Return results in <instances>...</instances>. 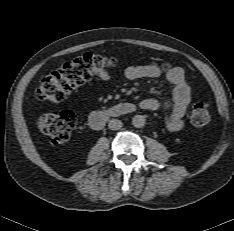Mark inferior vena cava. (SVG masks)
Segmentation results:
<instances>
[{"mask_svg":"<svg viewBox=\"0 0 234 231\" xmlns=\"http://www.w3.org/2000/svg\"><path fill=\"white\" fill-rule=\"evenodd\" d=\"M122 125H123L122 122L118 119H112L108 123V127L111 130H118L122 127Z\"/></svg>","mask_w":234,"mask_h":231,"instance_id":"inferior-vena-cava-1","label":"inferior vena cava"}]
</instances>
